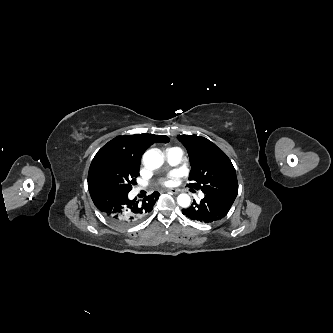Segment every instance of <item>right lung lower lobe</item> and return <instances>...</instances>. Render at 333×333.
<instances>
[{"label":"right lung lower lobe","instance_id":"1","mask_svg":"<svg viewBox=\"0 0 333 333\" xmlns=\"http://www.w3.org/2000/svg\"><path fill=\"white\" fill-rule=\"evenodd\" d=\"M88 187L98 210L114 224L124 227L141 222L151 212L160 195L158 192H154L139 204L136 199L129 200V192L118 188L102 184H92Z\"/></svg>","mask_w":333,"mask_h":333}]
</instances>
